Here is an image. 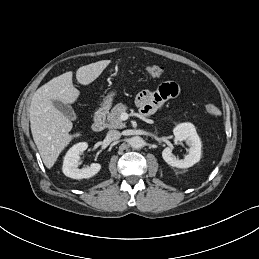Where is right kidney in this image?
Masks as SVG:
<instances>
[{
    "instance_id": "1",
    "label": "right kidney",
    "mask_w": 259,
    "mask_h": 259,
    "mask_svg": "<svg viewBox=\"0 0 259 259\" xmlns=\"http://www.w3.org/2000/svg\"><path fill=\"white\" fill-rule=\"evenodd\" d=\"M88 148L86 142H80L72 146L66 153L63 161V173L73 179L90 178L96 175L101 165L99 163H92L90 167L79 168V155Z\"/></svg>"
}]
</instances>
